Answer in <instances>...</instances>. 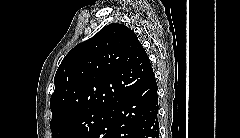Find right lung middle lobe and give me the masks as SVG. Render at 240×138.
Instances as JSON below:
<instances>
[{
    "label": "right lung middle lobe",
    "instance_id": "right-lung-middle-lobe-1",
    "mask_svg": "<svg viewBox=\"0 0 240 138\" xmlns=\"http://www.w3.org/2000/svg\"><path fill=\"white\" fill-rule=\"evenodd\" d=\"M108 108H91L50 123L52 138H90L102 122Z\"/></svg>",
    "mask_w": 240,
    "mask_h": 138
}]
</instances>
